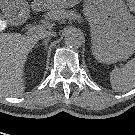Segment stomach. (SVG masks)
<instances>
[{
	"label": "stomach",
	"mask_w": 135,
	"mask_h": 135,
	"mask_svg": "<svg viewBox=\"0 0 135 135\" xmlns=\"http://www.w3.org/2000/svg\"><path fill=\"white\" fill-rule=\"evenodd\" d=\"M56 8L58 0H45ZM15 13L23 18L28 13L24 0H8ZM84 15L89 22L92 51L104 63L124 61L135 52V17L123 0H85Z\"/></svg>",
	"instance_id": "obj_1"
}]
</instances>
